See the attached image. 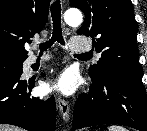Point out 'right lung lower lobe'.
Here are the masks:
<instances>
[{"label":"right lung lower lobe","mask_w":147,"mask_h":131,"mask_svg":"<svg viewBox=\"0 0 147 131\" xmlns=\"http://www.w3.org/2000/svg\"><path fill=\"white\" fill-rule=\"evenodd\" d=\"M35 79L0 76V124H11L28 131H54L56 104L31 96Z\"/></svg>","instance_id":"right-lung-lower-lobe-1"}]
</instances>
